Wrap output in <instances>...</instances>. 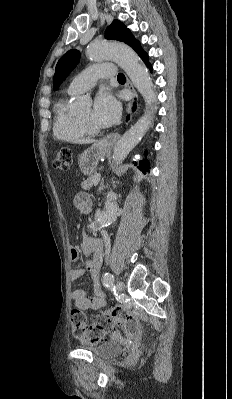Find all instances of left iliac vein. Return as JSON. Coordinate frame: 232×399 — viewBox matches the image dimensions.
Segmentation results:
<instances>
[{"label":"left iliac vein","mask_w":232,"mask_h":399,"mask_svg":"<svg viewBox=\"0 0 232 399\" xmlns=\"http://www.w3.org/2000/svg\"><path fill=\"white\" fill-rule=\"evenodd\" d=\"M115 288L118 289L119 292H122L124 289V284L121 281H118L115 285Z\"/></svg>","instance_id":"1"}]
</instances>
